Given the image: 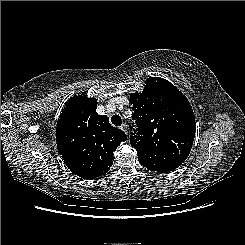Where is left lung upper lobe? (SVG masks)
Instances as JSON below:
<instances>
[{"label": "left lung upper lobe", "mask_w": 245, "mask_h": 245, "mask_svg": "<svg viewBox=\"0 0 245 245\" xmlns=\"http://www.w3.org/2000/svg\"><path fill=\"white\" fill-rule=\"evenodd\" d=\"M137 129L130 143L141 165L160 173L173 171L188 157L196 123L188 99L171 82L150 77L142 93L130 96Z\"/></svg>", "instance_id": "left-lung-upper-lobe-1"}]
</instances>
